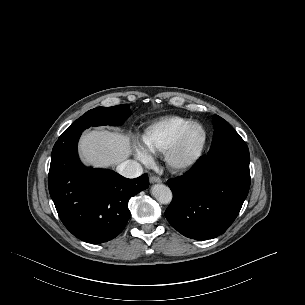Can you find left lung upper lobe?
<instances>
[{"label":"left lung upper lobe","instance_id":"left-lung-upper-lobe-1","mask_svg":"<svg viewBox=\"0 0 305 305\" xmlns=\"http://www.w3.org/2000/svg\"><path fill=\"white\" fill-rule=\"evenodd\" d=\"M213 125V140L207 155H215L231 150L249 152L244 140L227 121L217 115H214Z\"/></svg>","mask_w":305,"mask_h":305}]
</instances>
